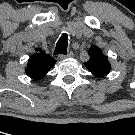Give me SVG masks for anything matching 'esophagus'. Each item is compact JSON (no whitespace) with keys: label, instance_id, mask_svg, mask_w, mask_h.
Returning a JSON list of instances; mask_svg holds the SVG:
<instances>
[{"label":"esophagus","instance_id":"esophagus-1","mask_svg":"<svg viewBox=\"0 0 135 135\" xmlns=\"http://www.w3.org/2000/svg\"><path fill=\"white\" fill-rule=\"evenodd\" d=\"M71 57H73V53H72V52H68L66 55L61 54V55L59 56V59H60V60H63V59L71 58Z\"/></svg>","mask_w":135,"mask_h":135}]
</instances>
